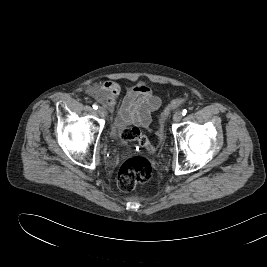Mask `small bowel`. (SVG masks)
I'll list each match as a JSON object with an SVG mask.
<instances>
[{"label": "small bowel", "mask_w": 267, "mask_h": 267, "mask_svg": "<svg viewBox=\"0 0 267 267\" xmlns=\"http://www.w3.org/2000/svg\"><path fill=\"white\" fill-rule=\"evenodd\" d=\"M121 86L116 81H106L94 84L89 93L110 109L117 108V97L121 93ZM162 101L153 93L151 87L138 81L128 87L118 108L117 122L120 127L137 125L147 128L152 120V113L160 108Z\"/></svg>", "instance_id": "c3829d8e"}]
</instances>
